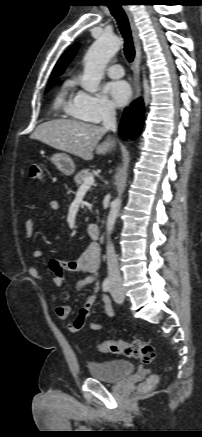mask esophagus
<instances>
[{"mask_svg":"<svg viewBox=\"0 0 202 437\" xmlns=\"http://www.w3.org/2000/svg\"><path fill=\"white\" fill-rule=\"evenodd\" d=\"M126 16L128 18L130 28L132 31L133 42L135 47V58L133 62V87L135 98H138L141 95V85H140V61H141V45L140 39L138 35V29L135 24L133 15L127 6L123 7Z\"/></svg>","mask_w":202,"mask_h":437,"instance_id":"esophagus-1","label":"esophagus"}]
</instances>
